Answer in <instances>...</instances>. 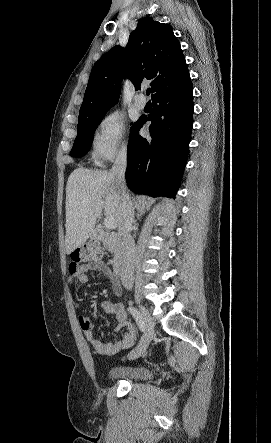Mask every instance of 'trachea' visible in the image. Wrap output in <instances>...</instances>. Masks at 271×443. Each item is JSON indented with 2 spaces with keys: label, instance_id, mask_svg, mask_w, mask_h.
Returning a JSON list of instances; mask_svg holds the SVG:
<instances>
[{
  "label": "trachea",
  "instance_id": "1",
  "mask_svg": "<svg viewBox=\"0 0 271 443\" xmlns=\"http://www.w3.org/2000/svg\"><path fill=\"white\" fill-rule=\"evenodd\" d=\"M150 94V90H147V95H149Z\"/></svg>",
  "mask_w": 271,
  "mask_h": 443
}]
</instances>
